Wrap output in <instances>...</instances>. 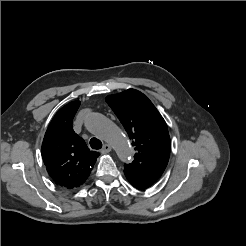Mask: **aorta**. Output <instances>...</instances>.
Wrapping results in <instances>:
<instances>
[{"label": "aorta", "instance_id": "obj_1", "mask_svg": "<svg viewBox=\"0 0 246 246\" xmlns=\"http://www.w3.org/2000/svg\"><path fill=\"white\" fill-rule=\"evenodd\" d=\"M85 126L91 133L108 142L114 148L121 161L127 162L131 160L133 149L126 136L104 115L96 112L90 113L85 120Z\"/></svg>", "mask_w": 246, "mask_h": 246}]
</instances>
